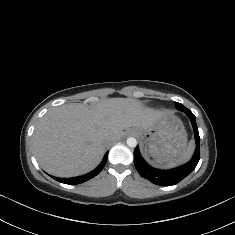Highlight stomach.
<instances>
[{"mask_svg": "<svg viewBox=\"0 0 235 235\" xmlns=\"http://www.w3.org/2000/svg\"><path fill=\"white\" fill-rule=\"evenodd\" d=\"M142 144L151 164L162 167L179 158L187 147V133L182 121L173 113L165 112L148 129L131 128Z\"/></svg>", "mask_w": 235, "mask_h": 235, "instance_id": "1", "label": "stomach"}]
</instances>
